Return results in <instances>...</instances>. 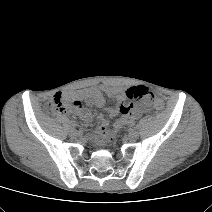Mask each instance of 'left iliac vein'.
<instances>
[{
    "label": "left iliac vein",
    "mask_w": 212,
    "mask_h": 212,
    "mask_svg": "<svg viewBox=\"0 0 212 212\" xmlns=\"http://www.w3.org/2000/svg\"><path fill=\"white\" fill-rule=\"evenodd\" d=\"M138 137H139L138 131H136L134 129H132V130L129 131V133H128V139L129 140L135 141V140L138 139Z\"/></svg>",
    "instance_id": "left-iliac-vein-1"
}]
</instances>
